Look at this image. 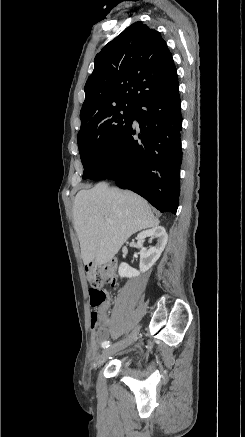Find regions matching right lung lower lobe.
<instances>
[{
    "mask_svg": "<svg viewBox=\"0 0 245 437\" xmlns=\"http://www.w3.org/2000/svg\"><path fill=\"white\" fill-rule=\"evenodd\" d=\"M180 106L179 86L140 100L112 153L88 178L114 180L160 212L176 214L182 161Z\"/></svg>",
    "mask_w": 245,
    "mask_h": 437,
    "instance_id": "obj_1",
    "label": "right lung lower lobe"
}]
</instances>
